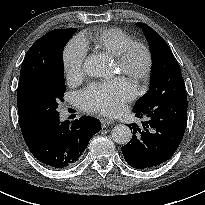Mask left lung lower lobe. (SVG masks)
<instances>
[{
	"mask_svg": "<svg viewBox=\"0 0 205 205\" xmlns=\"http://www.w3.org/2000/svg\"><path fill=\"white\" fill-rule=\"evenodd\" d=\"M134 112L142 122L129 125L132 139L121 148L126 162L147 169L170 159L186 129L187 95H173Z\"/></svg>",
	"mask_w": 205,
	"mask_h": 205,
	"instance_id": "obj_1",
	"label": "left lung lower lobe"
}]
</instances>
